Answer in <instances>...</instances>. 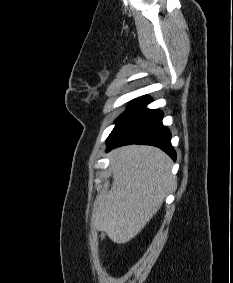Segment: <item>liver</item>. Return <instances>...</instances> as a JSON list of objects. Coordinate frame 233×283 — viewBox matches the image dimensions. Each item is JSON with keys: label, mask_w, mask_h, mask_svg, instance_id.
Returning <instances> with one entry per match:
<instances>
[{"label": "liver", "mask_w": 233, "mask_h": 283, "mask_svg": "<svg viewBox=\"0 0 233 283\" xmlns=\"http://www.w3.org/2000/svg\"><path fill=\"white\" fill-rule=\"evenodd\" d=\"M111 189L95 201L92 225L117 244L133 239L158 212L174 178L172 160L159 148L128 145L109 154Z\"/></svg>", "instance_id": "1"}]
</instances>
